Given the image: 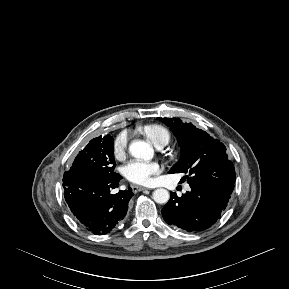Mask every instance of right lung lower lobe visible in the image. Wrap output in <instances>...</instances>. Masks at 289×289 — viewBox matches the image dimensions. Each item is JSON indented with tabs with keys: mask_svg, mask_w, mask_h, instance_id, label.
Returning <instances> with one entry per match:
<instances>
[{
	"mask_svg": "<svg viewBox=\"0 0 289 289\" xmlns=\"http://www.w3.org/2000/svg\"><path fill=\"white\" fill-rule=\"evenodd\" d=\"M122 178L116 172L106 177H88L67 171L63 177L65 200L78 223L96 235L113 230L126 216L131 188L112 194Z\"/></svg>",
	"mask_w": 289,
	"mask_h": 289,
	"instance_id": "1",
	"label": "right lung lower lobe"
}]
</instances>
